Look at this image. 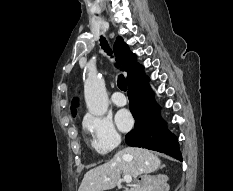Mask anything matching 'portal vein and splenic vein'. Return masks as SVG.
Listing matches in <instances>:
<instances>
[{"instance_id":"1","label":"portal vein and splenic vein","mask_w":233,"mask_h":191,"mask_svg":"<svg viewBox=\"0 0 233 191\" xmlns=\"http://www.w3.org/2000/svg\"><path fill=\"white\" fill-rule=\"evenodd\" d=\"M124 181L127 183V184H130L132 182V176L131 175H128V174H125L124 176Z\"/></svg>"}]
</instances>
